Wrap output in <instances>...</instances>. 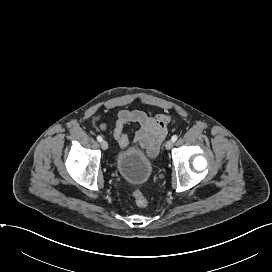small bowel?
Listing matches in <instances>:
<instances>
[{
    "label": "small bowel",
    "mask_w": 272,
    "mask_h": 272,
    "mask_svg": "<svg viewBox=\"0 0 272 272\" xmlns=\"http://www.w3.org/2000/svg\"><path fill=\"white\" fill-rule=\"evenodd\" d=\"M173 121V117L169 114L149 116L140 110H121L115 123L113 136L121 149L127 148L129 139L125 127L135 124L138 129L135 133L134 143L145 150L149 156L155 157L167 135V125Z\"/></svg>",
    "instance_id": "obj_1"
}]
</instances>
